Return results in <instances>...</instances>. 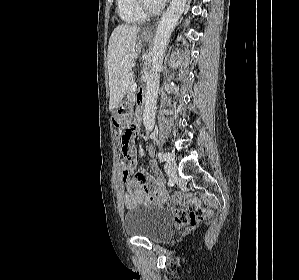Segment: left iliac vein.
Listing matches in <instances>:
<instances>
[{
    "instance_id": "1",
    "label": "left iliac vein",
    "mask_w": 299,
    "mask_h": 280,
    "mask_svg": "<svg viewBox=\"0 0 299 280\" xmlns=\"http://www.w3.org/2000/svg\"><path fill=\"white\" fill-rule=\"evenodd\" d=\"M165 170L169 177H173L176 175L177 165H176V162H175L173 156H171V159L166 162Z\"/></svg>"
}]
</instances>
